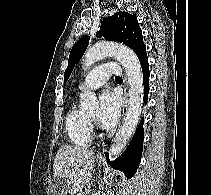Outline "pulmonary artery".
Returning a JSON list of instances; mask_svg holds the SVG:
<instances>
[{
  "instance_id": "pulmonary-artery-1",
  "label": "pulmonary artery",
  "mask_w": 211,
  "mask_h": 195,
  "mask_svg": "<svg viewBox=\"0 0 211 195\" xmlns=\"http://www.w3.org/2000/svg\"><path fill=\"white\" fill-rule=\"evenodd\" d=\"M112 74H120V68L115 63H107L94 68L79 84V89H96L102 86Z\"/></svg>"
}]
</instances>
